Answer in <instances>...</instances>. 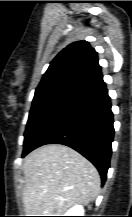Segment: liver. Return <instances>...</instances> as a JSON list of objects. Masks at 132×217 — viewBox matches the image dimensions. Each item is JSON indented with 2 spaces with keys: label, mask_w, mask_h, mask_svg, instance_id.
I'll return each mask as SVG.
<instances>
[{
  "label": "liver",
  "mask_w": 132,
  "mask_h": 217,
  "mask_svg": "<svg viewBox=\"0 0 132 217\" xmlns=\"http://www.w3.org/2000/svg\"><path fill=\"white\" fill-rule=\"evenodd\" d=\"M22 168L28 216H61L74 205L89 204L100 192L97 169L65 145L49 144L32 151Z\"/></svg>",
  "instance_id": "6515ba94"
}]
</instances>
